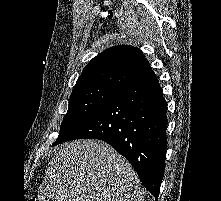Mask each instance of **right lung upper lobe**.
I'll return each instance as SVG.
<instances>
[{"label":"right lung upper lobe","mask_w":221,"mask_h":201,"mask_svg":"<svg viewBox=\"0 0 221 201\" xmlns=\"http://www.w3.org/2000/svg\"><path fill=\"white\" fill-rule=\"evenodd\" d=\"M151 70L139 49L128 45L114 46L87 64L73 90L97 86L120 90Z\"/></svg>","instance_id":"1"}]
</instances>
